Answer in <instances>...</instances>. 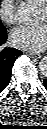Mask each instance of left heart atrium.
<instances>
[{
    "mask_svg": "<svg viewBox=\"0 0 47 129\" xmlns=\"http://www.w3.org/2000/svg\"><path fill=\"white\" fill-rule=\"evenodd\" d=\"M47 27L40 23L17 26L11 33L12 43L21 49L37 52L46 45Z\"/></svg>",
    "mask_w": 47,
    "mask_h": 129,
    "instance_id": "1",
    "label": "left heart atrium"
}]
</instances>
